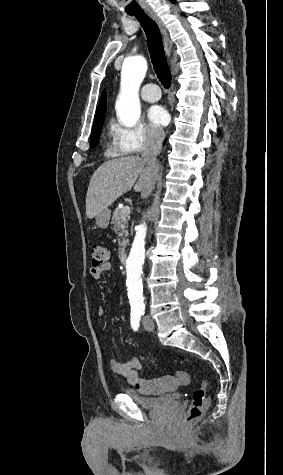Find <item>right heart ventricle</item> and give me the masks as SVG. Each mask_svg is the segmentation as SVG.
<instances>
[{
    "mask_svg": "<svg viewBox=\"0 0 283 475\" xmlns=\"http://www.w3.org/2000/svg\"><path fill=\"white\" fill-rule=\"evenodd\" d=\"M107 130L109 131V133L111 132V131H110V130H111L110 126H107Z\"/></svg>",
    "mask_w": 283,
    "mask_h": 475,
    "instance_id": "right-heart-ventricle-1",
    "label": "right heart ventricle"
}]
</instances>
